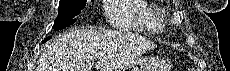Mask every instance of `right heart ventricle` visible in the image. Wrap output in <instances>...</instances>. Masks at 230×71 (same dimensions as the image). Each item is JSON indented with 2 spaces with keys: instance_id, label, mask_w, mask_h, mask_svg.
Wrapping results in <instances>:
<instances>
[{
  "instance_id": "e07e8e85",
  "label": "right heart ventricle",
  "mask_w": 230,
  "mask_h": 71,
  "mask_svg": "<svg viewBox=\"0 0 230 71\" xmlns=\"http://www.w3.org/2000/svg\"><path fill=\"white\" fill-rule=\"evenodd\" d=\"M107 13L112 25L121 30L159 32L162 29L161 9L144 0L110 1Z\"/></svg>"
}]
</instances>
